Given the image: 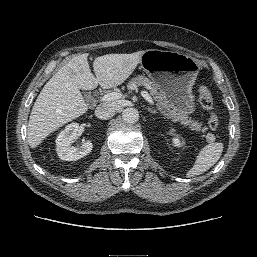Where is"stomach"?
I'll return each instance as SVG.
<instances>
[{"label":"stomach","instance_id":"obj_1","mask_svg":"<svg viewBox=\"0 0 257 257\" xmlns=\"http://www.w3.org/2000/svg\"><path fill=\"white\" fill-rule=\"evenodd\" d=\"M141 68L164 93L172 107L186 115L195 111L193 85L200 65L191 56L176 51H143Z\"/></svg>","mask_w":257,"mask_h":257}]
</instances>
